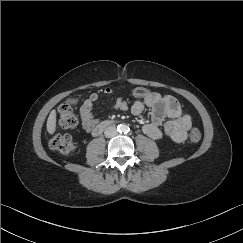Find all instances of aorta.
<instances>
[{
  "label": "aorta",
  "instance_id": "1",
  "mask_svg": "<svg viewBox=\"0 0 243 243\" xmlns=\"http://www.w3.org/2000/svg\"><path fill=\"white\" fill-rule=\"evenodd\" d=\"M117 130H118V132H120V133H122V132H127L128 127H127V125H125V124H121V125H118Z\"/></svg>",
  "mask_w": 243,
  "mask_h": 243
}]
</instances>
